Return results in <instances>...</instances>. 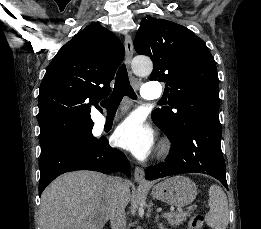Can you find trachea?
<instances>
[{
  "instance_id": "3493384b",
  "label": "trachea",
  "mask_w": 261,
  "mask_h": 229,
  "mask_svg": "<svg viewBox=\"0 0 261 229\" xmlns=\"http://www.w3.org/2000/svg\"><path fill=\"white\" fill-rule=\"evenodd\" d=\"M124 95L130 97V99L137 98L130 85L126 67L121 65L116 75L113 92L107 99L102 100L101 106L107 109V112L115 113Z\"/></svg>"
}]
</instances>
